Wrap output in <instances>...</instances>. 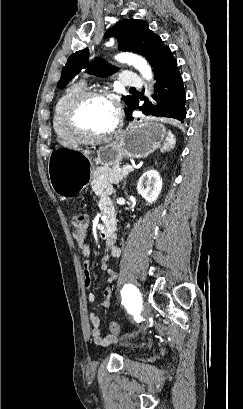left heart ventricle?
Returning <instances> with one entry per match:
<instances>
[{
    "instance_id": "obj_1",
    "label": "left heart ventricle",
    "mask_w": 243,
    "mask_h": 409,
    "mask_svg": "<svg viewBox=\"0 0 243 409\" xmlns=\"http://www.w3.org/2000/svg\"><path fill=\"white\" fill-rule=\"evenodd\" d=\"M78 119L83 130L90 135L105 133L115 124L112 107L99 99L86 101L79 110Z\"/></svg>"
}]
</instances>
